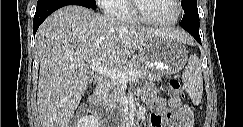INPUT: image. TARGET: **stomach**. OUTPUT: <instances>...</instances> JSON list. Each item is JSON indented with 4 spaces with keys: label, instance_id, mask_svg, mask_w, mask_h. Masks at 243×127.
I'll return each instance as SVG.
<instances>
[{
    "label": "stomach",
    "instance_id": "1",
    "mask_svg": "<svg viewBox=\"0 0 243 127\" xmlns=\"http://www.w3.org/2000/svg\"><path fill=\"white\" fill-rule=\"evenodd\" d=\"M140 64L153 80L180 71L188 60V51L181 41L169 35L155 34L139 49Z\"/></svg>",
    "mask_w": 243,
    "mask_h": 127
}]
</instances>
